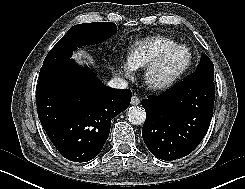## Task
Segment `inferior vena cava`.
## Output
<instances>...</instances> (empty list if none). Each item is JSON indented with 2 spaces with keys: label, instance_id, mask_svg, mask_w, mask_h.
Here are the masks:
<instances>
[{
  "label": "inferior vena cava",
  "instance_id": "inferior-vena-cava-1",
  "mask_svg": "<svg viewBox=\"0 0 245 189\" xmlns=\"http://www.w3.org/2000/svg\"><path fill=\"white\" fill-rule=\"evenodd\" d=\"M108 86L116 89H125L128 86V83L121 77H114L108 82Z\"/></svg>",
  "mask_w": 245,
  "mask_h": 189
}]
</instances>
